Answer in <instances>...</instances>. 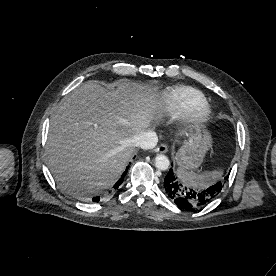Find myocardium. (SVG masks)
<instances>
[{
  "mask_svg": "<svg viewBox=\"0 0 276 276\" xmlns=\"http://www.w3.org/2000/svg\"><path fill=\"white\" fill-rule=\"evenodd\" d=\"M211 117V108L207 103L200 104L191 109L186 115V121L192 127H200Z\"/></svg>",
  "mask_w": 276,
  "mask_h": 276,
  "instance_id": "obj_1",
  "label": "myocardium"
}]
</instances>
